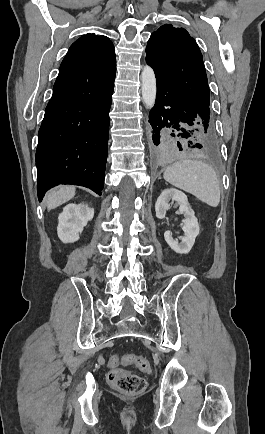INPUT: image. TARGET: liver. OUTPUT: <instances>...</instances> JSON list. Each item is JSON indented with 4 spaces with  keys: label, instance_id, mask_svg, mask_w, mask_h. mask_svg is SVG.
Returning a JSON list of instances; mask_svg holds the SVG:
<instances>
[{
    "label": "liver",
    "instance_id": "6515ba94",
    "mask_svg": "<svg viewBox=\"0 0 265 434\" xmlns=\"http://www.w3.org/2000/svg\"><path fill=\"white\" fill-rule=\"evenodd\" d=\"M75 196L74 186H58V188H53L48 192L45 198V204H47V210H54L58 208L61 204L69 202Z\"/></svg>",
    "mask_w": 265,
    "mask_h": 434
}]
</instances>
